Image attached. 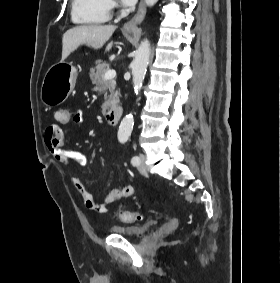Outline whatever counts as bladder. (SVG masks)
Segmentation results:
<instances>
[{
	"label": "bladder",
	"mask_w": 280,
	"mask_h": 283,
	"mask_svg": "<svg viewBox=\"0 0 280 283\" xmlns=\"http://www.w3.org/2000/svg\"><path fill=\"white\" fill-rule=\"evenodd\" d=\"M157 223V220H150L141 225L111 226L109 228V232L113 235H119L132 239H140L146 234L150 233L157 226Z\"/></svg>",
	"instance_id": "31cf9c89"
}]
</instances>
